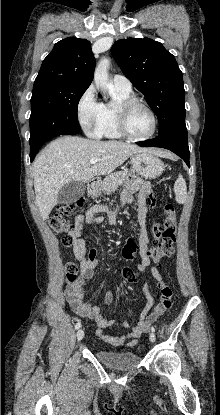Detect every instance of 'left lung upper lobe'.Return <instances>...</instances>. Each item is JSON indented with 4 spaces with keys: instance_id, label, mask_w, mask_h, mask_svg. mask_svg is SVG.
Returning a JSON list of instances; mask_svg holds the SVG:
<instances>
[{
    "instance_id": "1",
    "label": "left lung upper lobe",
    "mask_w": 220,
    "mask_h": 415,
    "mask_svg": "<svg viewBox=\"0 0 220 415\" xmlns=\"http://www.w3.org/2000/svg\"><path fill=\"white\" fill-rule=\"evenodd\" d=\"M111 53L125 76L146 97L159 122V133L185 118L183 75L175 57L149 38L116 41Z\"/></svg>"
}]
</instances>
